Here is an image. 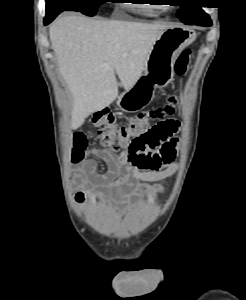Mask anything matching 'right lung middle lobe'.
<instances>
[{"label": "right lung middle lobe", "instance_id": "obj_1", "mask_svg": "<svg viewBox=\"0 0 246 300\" xmlns=\"http://www.w3.org/2000/svg\"><path fill=\"white\" fill-rule=\"evenodd\" d=\"M110 0H46V17L63 11H78L87 16H94L101 3Z\"/></svg>", "mask_w": 246, "mask_h": 300}]
</instances>
